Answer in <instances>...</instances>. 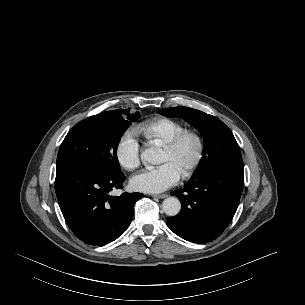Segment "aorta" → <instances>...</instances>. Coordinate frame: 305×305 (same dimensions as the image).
Masks as SVG:
<instances>
[{
	"label": "aorta",
	"instance_id": "aorta-1",
	"mask_svg": "<svg viewBox=\"0 0 305 305\" xmlns=\"http://www.w3.org/2000/svg\"><path fill=\"white\" fill-rule=\"evenodd\" d=\"M162 150L157 147L146 148L142 152V159L149 164H159L161 162ZM162 209L168 216H176L181 210V203L176 197H168L162 203Z\"/></svg>",
	"mask_w": 305,
	"mask_h": 305
}]
</instances>
